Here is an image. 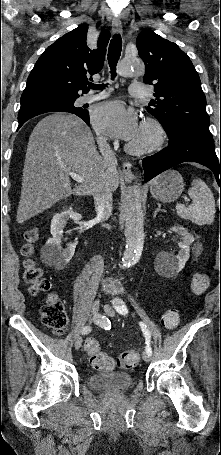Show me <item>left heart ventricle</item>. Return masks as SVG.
<instances>
[{
	"instance_id": "left-heart-ventricle-1",
	"label": "left heart ventricle",
	"mask_w": 221,
	"mask_h": 455,
	"mask_svg": "<svg viewBox=\"0 0 221 455\" xmlns=\"http://www.w3.org/2000/svg\"><path fill=\"white\" fill-rule=\"evenodd\" d=\"M148 138V135L143 131H138L137 135L134 137V141H143Z\"/></svg>"
}]
</instances>
